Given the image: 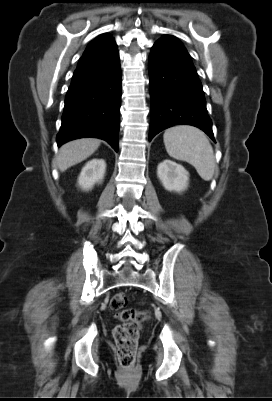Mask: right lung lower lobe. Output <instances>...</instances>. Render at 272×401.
I'll return each instance as SVG.
<instances>
[{"mask_svg":"<svg viewBox=\"0 0 272 401\" xmlns=\"http://www.w3.org/2000/svg\"><path fill=\"white\" fill-rule=\"evenodd\" d=\"M121 69L117 45L78 65L65 98L58 146L77 138L107 141L118 151Z\"/></svg>","mask_w":272,"mask_h":401,"instance_id":"98d812e1","label":"right lung lower lobe"}]
</instances>
